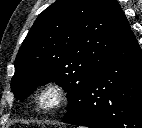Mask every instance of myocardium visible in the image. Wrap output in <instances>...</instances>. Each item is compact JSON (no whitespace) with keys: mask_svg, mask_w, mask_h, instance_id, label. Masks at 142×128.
<instances>
[{"mask_svg":"<svg viewBox=\"0 0 142 128\" xmlns=\"http://www.w3.org/2000/svg\"><path fill=\"white\" fill-rule=\"evenodd\" d=\"M67 100L65 88L55 81H49L44 84L37 94V105L45 112H54L59 110Z\"/></svg>","mask_w":142,"mask_h":128,"instance_id":"f54148a6","label":"myocardium"}]
</instances>
